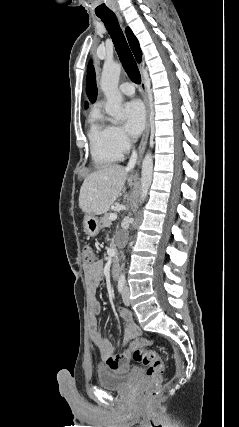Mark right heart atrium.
<instances>
[{"mask_svg": "<svg viewBox=\"0 0 239 427\" xmlns=\"http://www.w3.org/2000/svg\"><path fill=\"white\" fill-rule=\"evenodd\" d=\"M110 136L114 147L123 155L131 148V140L124 130L116 125L110 126Z\"/></svg>", "mask_w": 239, "mask_h": 427, "instance_id": "1", "label": "right heart atrium"}]
</instances>
